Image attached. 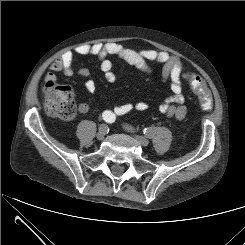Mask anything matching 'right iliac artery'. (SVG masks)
Listing matches in <instances>:
<instances>
[{
	"label": "right iliac artery",
	"instance_id": "1",
	"mask_svg": "<svg viewBox=\"0 0 245 245\" xmlns=\"http://www.w3.org/2000/svg\"><path fill=\"white\" fill-rule=\"evenodd\" d=\"M105 112H107V111H105ZM105 112L103 113V119L106 121V122H108V123H112V122H114L113 120H111V118H110V115L108 114H105ZM102 126V129H103V131L105 132V133H108V131H109V128H108V126L107 125H105V124H102L101 125Z\"/></svg>",
	"mask_w": 245,
	"mask_h": 245
}]
</instances>
